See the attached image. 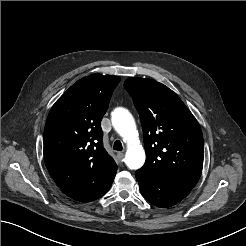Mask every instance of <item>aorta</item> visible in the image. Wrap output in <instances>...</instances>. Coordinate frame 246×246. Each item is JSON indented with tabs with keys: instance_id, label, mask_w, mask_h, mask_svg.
Returning <instances> with one entry per match:
<instances>
[{
	"instance_id": "aorta-1",
	"label": "aorta",
	"mask_w": 246,
	"mask_h": 246,
	"mask_svg": "<svg viewBox=\"0 0 246 246\" xmlns=\"http://www.w3.org/2000/svg\"><path fill=\"white\" fill-rule=\"evenodd\" d=\"M111 121L114 129L127 143L125 164L132 170L141 168L146 156L142 145L138 142L136 124L132 114L125 108H116L112 112Z\"/></svg>"
}]
</instances>
